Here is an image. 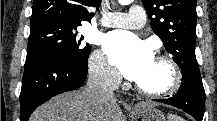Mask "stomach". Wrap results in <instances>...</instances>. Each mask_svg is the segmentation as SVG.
<instances>
[{
	"instance_id": "0dacf381",
	"label": "stomach",
	"mask_w": 217,
	"mask_h": 121,
	"mask_svg": "<svg viewBox=\"0 0 217 121\" xmlns=\"http://www.w3.org/2000/svg\"><path fill=\"white\" fill-rule=\"evenodd\" d=\"M135 113L141 121H166L164 115L150 105L139 107Z\"/></svg>"
}]
</instances>
